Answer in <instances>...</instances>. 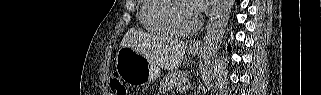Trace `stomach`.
<instances>
[{
	"mask_svg": "<svg viewBox=\"0 0 321 95\" xmlns=\"http://www.w3.org/2000/svg\"><path fill=\"white\" fill-rule=\"evenodd\" d=\"M199 49L189 48V53L197 54ZM116 72L127 83L146 85L154 82L160 68L143 54L130 47H121L116 57Z\"/></svg>",
	"mask_w": 321,
	"mask_h": 95,
	"instance_id": "stomach-1",
	"label": "stomach"
}]
</instances>
